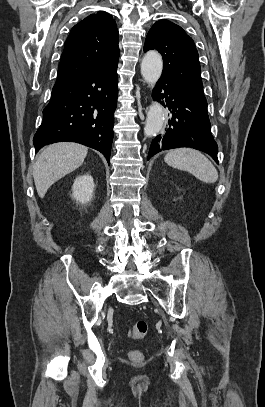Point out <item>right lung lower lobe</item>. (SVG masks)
<instances>
[{
	"label": "right lung lower lobe",
	"instance_id": "98d812e1",
	"mask_svg": "<svg viewBox=\"0 0 265 407\" xmlns=\"http://www.w3.org/2000/svg\"><path fill=\"white\" fill-rule=\"evenodd\" d=\"M118 61L52 90L44 119L33 138L35 150L45 145L77 142L100 151L110 164L114 111L118 96Z\"/></svg>",
	"mask_w": 265,
	"mask_h": 407
}]
</instances>
